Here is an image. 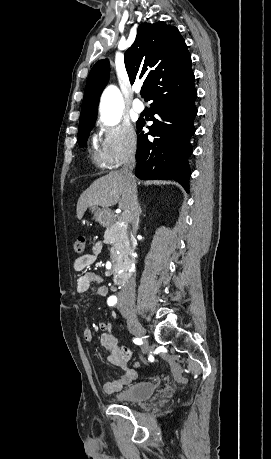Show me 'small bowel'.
Returning a JSON list of instances; mask_svg holds the SVG:
<instances>
[{
    "label": "small bowel",
    "mask_w": 271,
    "mask_h": 459,
    "mask_svg": "<svg viewBox=\"0 0 271 459\" xmlns=\"http://www.w3.org/2000/svg\"><path fill=\"white\" fill-rule=\"evenodd\" d=\"M102 244L96 243L93 249L78 257L74 262V270L77 272H82V274L77 279V291L79 293H85L89 291L93 283L101 284L103 279L94 272H85L84 270L92 265L100 251ZM95 293L98 296H105L107 294V288L103 285L98 286L95 289ZM98 328L103 332L100 337V342L102 346L108 351L107 363L114 365L122 370V375L116 380L105 382L102 385V390L105 394L110 395L114 392L121 390L124 386L131 383L136 374L135 371L129 368L127 360H124L120 356L118 349V340L117 338L109 332V326L106 322L100 321L98 323ZM84 339L88 343L93 342V333L90 328H86L83 333Z\"/></svg>",
    "instance_id": "obj_1"
}]
</instances>
